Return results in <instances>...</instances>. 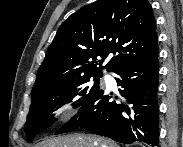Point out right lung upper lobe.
Masks as SVG:
<instances>
[{
  "label": "right lung upper lobe",
  "instance_id": "obj_1",
  "mask_svg": "<svg viewBox=\"0 0 183 147\" xmlns=\"http://www.w3.org/2000/svg\"><path fill=\"white\" fill-rule=\"evenodd\" d=\"M130 61L158 55L156 22L147 0H97L59 27L32 90L57 81L102 75ZM101 57L102 59H98Z\"/></svg>",
  "mask_w": 183,
  "mask_h": 147
}]
</instances>
